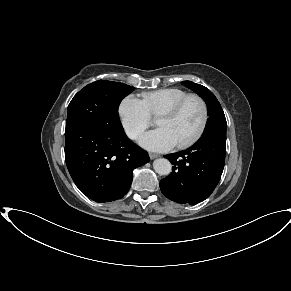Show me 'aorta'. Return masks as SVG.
Segmentation results:
<instances>
[{
	"label": "aorta",
	"instance_id": "1",
	"mask_svg": "<svg viewBox=\"0 0 291 291\" xmlns=\"http://www.w3.org/2000/svg\"><path fill=\"white\" fill-rule=\"evenodd\" d=\"M153 168L159 175H169L172 171V165L170 161L165 158L156 159L153 162Z\"/></svg>",
	"mask_w": 291,
	"mask_h": 291
}]
</instances>
